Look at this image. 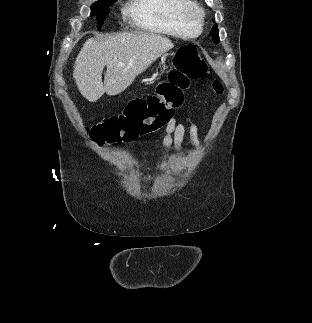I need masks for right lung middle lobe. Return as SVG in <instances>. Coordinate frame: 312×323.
<instances>
[{
    "label": "right lung middle lobe",
    "mask_w": 312,
    "mask_h": 323,
    "mask_svg": "<svg viewBox=\"0 0 312 323\" xmlns=\"http://www.w3.org/2000/svg\"><path fill=\"white\" fill-rule=\"evenodd\" d=\"M116 0H112L108 3H94L91 6V15L96 14L97 22H98V28H101L105 18L107 17L109 13V5Z\"/></svg>",
    "instance_id": "1"
}]
</instances>
